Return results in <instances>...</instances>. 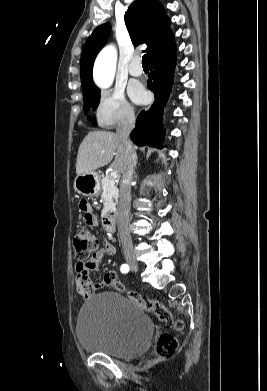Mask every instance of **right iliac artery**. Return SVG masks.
<instances>
[{"mask_svg":"<svg viewBox=\"0 0 267 391\" xmlns=\"http://www.w3.org/2000/svg\"><path fill=\"white\" fill-rule=\"evenodd\" d=\"M129 271V266L127 264H123L121 266V272L122 273H127Z\"/></svg>","mask_w":267,"mask_h":391,"instance_id":"1","label":"right iliac artery"}]
</instances>
